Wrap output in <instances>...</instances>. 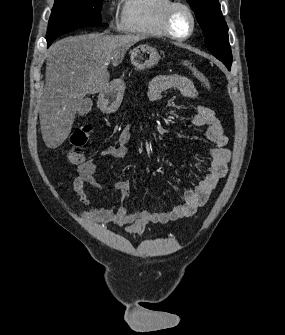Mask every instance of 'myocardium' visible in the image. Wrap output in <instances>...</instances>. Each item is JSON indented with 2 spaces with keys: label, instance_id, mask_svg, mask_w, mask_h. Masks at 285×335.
<instances>
[{
  "label": "myocardium",
  "instance_id": "obj_1",
  "mask_svg": "<svg viewBox=\"0 0 285 335\" xmlns=\"http://www.w3.org/2000/svg\"><path fill=\"white\" fill-rule=\"evenodd\" d=\"M185 17H188L190 20V27L188 29V33H190L193 27V18L188 7L181 2H173L167 8L165 13V25L171 36L175 38L179 37L177 31Z\"/></svg>",
  "mask_w": 285,
  "mask_h": 335
}]
</instances>
